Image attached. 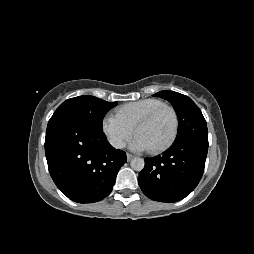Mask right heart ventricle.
<instances>
[{
  "label": "right heart ventricle",
  "mask_w": 254,
  "mask_h": 254,
  "mask_svg": "<svg viewBox=\"0 0 254 254\" xmlns=\"http://www.w3.org/2000/svg\"><path fill=\"white\" fill-rule=\"evenodd\" d=\"M165 104L156 98H146L129 102L116 109V115L131 127H135L139 120L155 108Z\"/></svg>",
  "instance_id": "obj_1"
}]
</instances>
